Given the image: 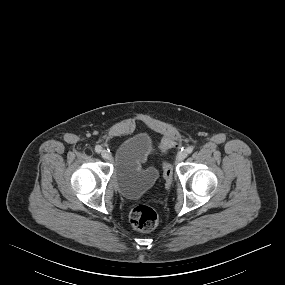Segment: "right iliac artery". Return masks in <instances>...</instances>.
Instances as JSON below:
<instances>
[{"mask_svg": "<svg viewBox=\"0 0 285 285\" xmlns=\"http://www.w3.org/2000/svg\"><path fill=\"white\" fill-rule=\"evenodd\" d=\"M95 151H96L97 153H100V152L102 151V147H101L100 145H96V146H95Z\"/></svg>", "mask_w": 285, "mask_h": 285, "instance_id": "1", "label": "right iliac artery"}]
</instances>
